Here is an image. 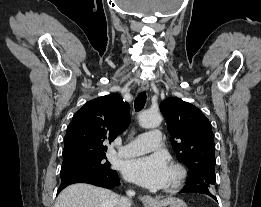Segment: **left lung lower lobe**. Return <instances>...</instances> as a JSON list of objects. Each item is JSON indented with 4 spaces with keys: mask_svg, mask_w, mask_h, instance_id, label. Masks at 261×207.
<instances>
[{
    "mask_svg": "<svg viewBox=\"0 0 261 207\" xmlns=\"http://www.w3.org/2000/svg\"><path fill=\"white\" fill-rule=\"evenodd\" d=\"M180 193H200L211 196L213 199L217 201V198L212 195L209 190V187L203 185H185L184 188L180 191Z\"/></svg>",
    "mask_w": 261,
    "mask_h": 207,
    "instance_id": "left-lung-lower-lobe-1",
    "label": "left lung lower lobe"
}]
</instances>
